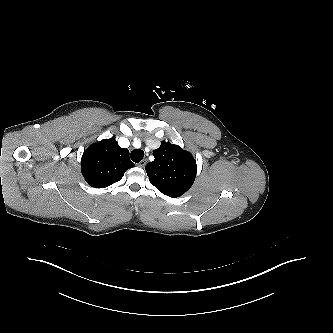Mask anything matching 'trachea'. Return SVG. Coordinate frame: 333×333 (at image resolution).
I'll use <instances>...</instances> for the list:
<instances>
[{"label": "trachea", "mask_w": 333, "mask_h": 333, "mask_svg": "<svg viewBox=\"0 0 333 333\" xmlns=\"http://www.w3.org/2000/svg\"><path fill=\"white\" fill-rule=\"evenodd\" d=\"M130 157L133 162L139 163L144 157V152L142 150L135 149L131 152Z\"/></svg>", "instance_id": "3493384b"}]
</instances>
